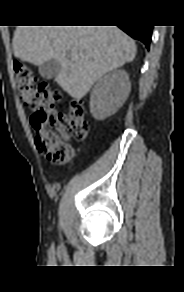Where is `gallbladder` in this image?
Masks as SVG:
<instances>
[{"label": "gallbladder", "mask_w": 184, "mask_h": 292, "mask_svg": "<svg viewBox=\"0 0 184 292\" xmlns=\"http://www.w3.org/2000/svg\"><path fill=\"white\" fill-rule=\"evenodd\" d=\"M39 74L45 79H51L60 72V64L56 60H49L38 67Z\"/></svg>", "instance_id": "1"}]
</instances>
